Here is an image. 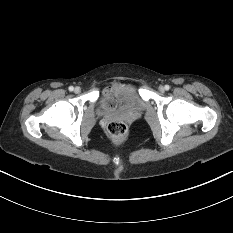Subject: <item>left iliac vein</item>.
<instances>
[{
    "instance_id": "1",
    "label": "left iliac vein",
    "mask_w": 233,
    "mask_h": 233,
    "mask_svg": "<svg viewBox=\"0 0 233 233\" xmlns=\"http://www.w3.org/2000/svg\"><path fill=\"white\" fill-rule=\"evenodd\" d=\"M158 89H159L160 92H164L165 91V88L163 86H159Z\"/></svg>"
}]
</instances>
